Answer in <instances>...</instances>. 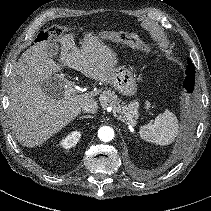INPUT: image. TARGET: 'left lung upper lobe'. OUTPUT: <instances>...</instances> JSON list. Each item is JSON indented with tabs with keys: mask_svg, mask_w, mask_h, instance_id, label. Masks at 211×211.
<instances>
[{
	"mask_svg": "<svg viewBox=\"0 0 211 211\" xmlns=\"http://www.w3.org/2000/svg\"><path fill=\"white\" fill-rule=\"evenodd\" d=\"M186 74L187 76L184 81V87L189 93H191L193 92L194 83H195V67L190 58H188V66H187Z\"/></svg>",
	"mask_w": 211,
	"mask_h": 211,
	"instance_id": "left-lung-upper-lobe-1",
	"label": "left lung upper lobe"
}]
</instances>
